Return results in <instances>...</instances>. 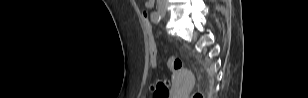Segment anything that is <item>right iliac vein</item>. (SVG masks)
I'll list each match as a JSON object with an SVG mask.
<instances>
[{"label": "right iliac vein", "mask_w": 308, "mask_h": 98, "mask_svg": "<svg viewBox=\"0 0 308 98\" xmlns=\"http://www.w3.org/2000/svg\"><path fill=\"white\" fill-rule=\"evenodd\" d=\"M158 10H159V13H160L161 15H165L166 12H167V8H166V6H164V5H160V6L158 7Z\"/></svg>", "instance_id": "right-iliac-vein-1"}]
</instances>
